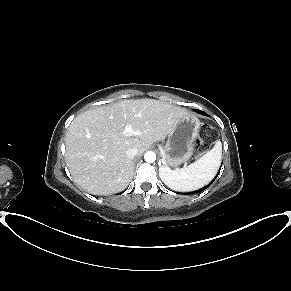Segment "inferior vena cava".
<instances>
[{"label": "inferior vena cava", "instance_id": "602c4592", "mask_svg": "<svg viewBox=\"0 0 291 291\" xmlns=\"http://www.w3.org/2000/svg\"><path fill=\"white\" fill-rule=\"evenodd\" d=\"M137 153H138L137 148L133 147V148H130L126 151V156H127V158L132 160L137 155Z\"/></svg>", "mask_w": 291, "mask_h": 291}]
</instances>
